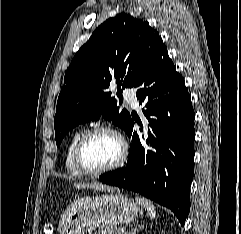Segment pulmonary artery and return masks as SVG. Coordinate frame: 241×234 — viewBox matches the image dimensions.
<instances>
[{"instance_id":"pulmonary-artery-1","label":"pulmonary artery","mask_w":241,"mask_h":234,"mask_svg":"<svg viewBox=\"0 0 241 234\" xmlns=\"http://www.w3.org/2000/svg\"><path fill=\"white\" fill-rule=\"evenodd\" d=\"M124 96H125V99L127 100V102L133 108H137L138 107V101H137V97H136V94H135L134 90H132L130 88H126L124 90Z\"/></svg>"}]
</instances>
